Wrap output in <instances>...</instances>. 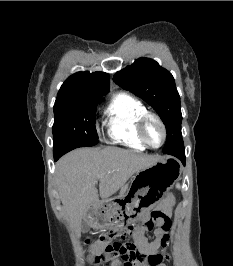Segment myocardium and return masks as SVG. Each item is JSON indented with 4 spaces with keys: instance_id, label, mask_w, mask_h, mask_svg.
<instances>
[{
    "instance_id": "f54148a6",
    "label": "myocardium",
    "mask_w": 233,
    "mask_h": 266,
    "mask_svg": "<svg viewBox=\"0 0 233 266\" xmlns=\"http://www.w3.org/2000/svg\"><path fill=\"white\" fill-rule=\"evenodd\" d=\"M150 119H153V120L157 121L158 124L160 125L161 129H162V132H163L162 141L157 146L152 145L148 141V139L146 137L145 128H146L147 122ZM137 134H138V137L140 138V140L144 143V145L147 146V147H149V148H152V149L160 148L161 146L164 145V143L166 142V139H167V129H166V126H165V123L163 122V120L160 118L159 115H157V114H155L153 112H148V111L146 113H144L140 117V119L138 121V124H137Z\"/></svg>"
}]
</instances>
